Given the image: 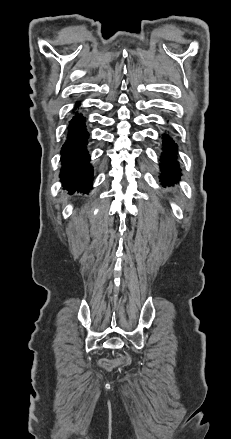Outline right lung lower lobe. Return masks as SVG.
Instances as JSON below:
<instances>
[{"label": "right lung lower lobe", "instance_id": "98d812e1", "mask_svg": "<svg viewBox=\"0 0 231 439\" xmlns=\"http://www.w3.org/2000/svg\"><path fill=\"white\" fill-rule=\"evenodd\" d=\"M89 134L85 118L76 114L70 121L67 139L61 149V181L69 192L88 193L92 188L93 170L86 149Z\"/></svg>", "mask_w": 231, "mask_h": 439}]
</instances>
